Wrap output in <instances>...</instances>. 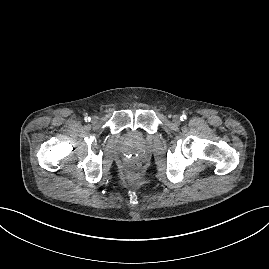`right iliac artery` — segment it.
Masks as SVG:
<instances>
[{"label":"right iliac artery","instance_id":"right-iliac-artery-1","mask_svg":"<svg viewBox=\"0 0 269 269\" xmlns=\"http://www.w3.org/2000/svg\"><path fill=\"white\" fill-rule=\"evenodd\" d=\"M84 120H85L86 122H89V121L91 120V118L88 117V116H86V117L84 118Z\"/></svg>","mask_w":269,"mask_h":269}]
</instances>
